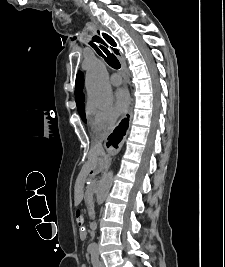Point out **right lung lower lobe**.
Returning a JSON list of instances; mask_svg holds the SVG:
<instances>
[{
	"instance_id": "right-lung-lower-lobe-1",
	"label": "right lung lower lobe",
	"mask_w": 225,
	"mask_h": 267,
	"mask_svg": "<svg viewBox=\"0 0 225 267\" xmlns=\"http://www.w3.org/2000/svg\"><path fill=\"white\" fill-rule=\"evenodd\" d=\"M127 123V119L123 120L122 123L119 125V127H117L114 132L109 136V142L107 143V146L109 145H113L114 147L117 146L119 139H118V135H119V131H120V127L122 124Z\"/></svg>"
}]
</instances>
